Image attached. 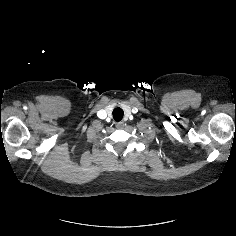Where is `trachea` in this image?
<instances>
[{"label": "trachea", "instance_id": "3493384b", "mask_svg": "<svg viewBox=\"0 0 236 236\" xmlns=\"http://www.w3.org/2000/svg\"><path fill=\"white\" fill-rule=\"evenodd\" d=\"M124 112L121 108L117 107L113 110V118L115 121H121L123 118Z\"/></svg>", "mask_w": 236, "mask_h": 236}]
</instances>
